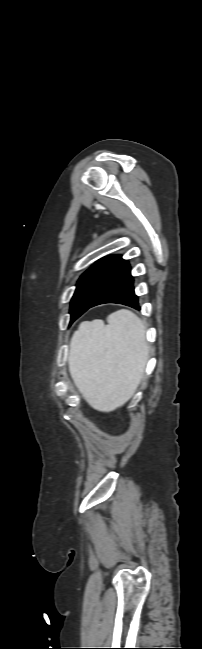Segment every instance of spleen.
Instances as JSON below:
<instances>
[{
    "label": "spleen",
    "mask_w": 202,
    "mask_h": 649,
    "mask_svg": "<svg viewBox=\"0 0 202 649\" xmlns=\"http://www.w3.org/2000/svg\"><path fill=\"white\" fill-rule=\"evenodd\" d=\"M101 321L83 322L70 341L71 377L94 409L108 412L127 402L144 375L148 356L145 326L121 309Z\"/></svg>",
    "instance_id": "1"
}]
</instances>
